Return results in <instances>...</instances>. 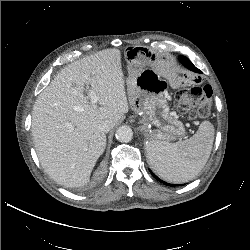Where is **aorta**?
I'll return each instance as SVG.
<instances>
[{"label":"aorta","mask_w":250,"mask_h":250,"mask_svg":"<svg viewBox=\"0 0 250 250\" xmlns=\"http://www.w3.org/2000/svg\"><path fill=\"white\" fill-rule=\"evenodd\" d=\"M116 139L123 143H128L133 138V131L129 126H120L116 131Z\"/></svg>","instance_id":"obj_1"}]
</instances>
